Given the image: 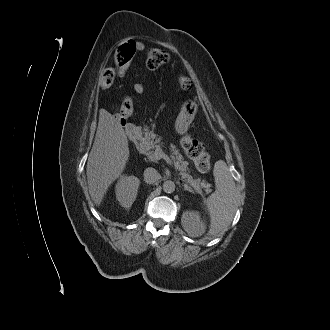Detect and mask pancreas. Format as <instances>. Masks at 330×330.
<instances>
[{
  "label": "pancreas",
  "mask_w": 330,
  "mask_h": 330,
  "mask_svg": "<svg viewBox=\"0 0 330 330\" xmlns=\"http://www.w3.org/2000/svg\"><path fill=\"white\" fill-rule=\"evenodd\" d=\"M161 137L156 134L147 131L143 141L141 142V152L147 156L150 161L156 162L155 150L158 146H162ZM171 157L175 163L176 169L179 171V175L182 180L192 186L196 192L205 190L206 193L211 192V184L201 178H193L189 174L188 162L184 161L183 156L179 153L175 146H171Z\"/></svg>",
  "instance_id": "cf45deb5"
}]
</instances>
